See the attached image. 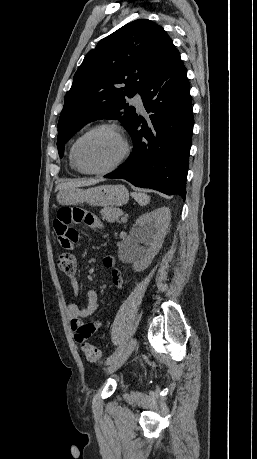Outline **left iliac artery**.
Instances as JSON below:
<instances>
[{"instance_id": "obj_1", "label": "left iliac artery", "mask_w": 257, "mask_h": 459, "mask_svg": "<svg viewBox=\"0 0 257 459\" xmlns=\"http://www.w3.org/2000/svg\"><path fill=\"white\" fill-rule=\"evenodd\" d=\"M124 345H120L106 360V364H111L123 351Z\"/></svg>"}]
</instances>
